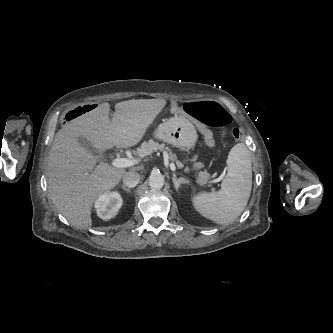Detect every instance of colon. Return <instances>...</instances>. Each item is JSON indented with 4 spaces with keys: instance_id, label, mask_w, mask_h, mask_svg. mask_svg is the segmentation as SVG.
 I'll return each mask as SVG.
<instances>
[{
    "instance_id": "1",
    "label": "colon",
    "mask_w": 333,
    "mask_h": 333,
    "mask_svg": "<svg viewBox=\"0 0 333 333\" xmlns=\"http://www.w3.org/2000/svg\"><path fill=\"white\" fill-rule=\"evenodd\" d=\"M96 106L95 103H90L82 108L72 110L66 115V119L71 121L83 113V111L95 108ZM184 109L203 125L221 128V137H224V129L229 126L232 121L230 114L220 104L213 101L189 103L184 106ZM231 131L230 136L232 140L236 141L244 138V133L240 126H233Z\"/></svg>"
}]
</instances>
